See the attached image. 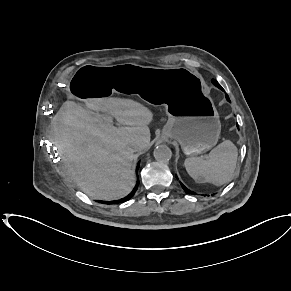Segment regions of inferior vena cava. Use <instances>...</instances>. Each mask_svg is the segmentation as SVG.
I'll use <instances>...</instances> for the list:
<instances>
[{
    "mask_svg": "<svg viewBox=\"0 0 291 291\" xmlns=\"http://www.w3.org/2000/svg\"><path fill=\"white\" fill-rule=\"evenodd\" d=\"M130 150L133 151V152H136V151L138 150V146L135 145V144H132V145L130 146Z\"/></svg>",
    "mask_w": 291,
    "mask_h": 291,
    "instance_id": "inferior-vena-cava-1",
    "label": "inferior vena cava"
}]
</instances>
